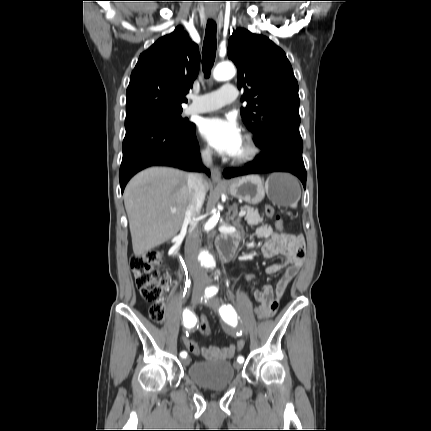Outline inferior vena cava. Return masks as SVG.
I'll use <instances>...</instances> for the list:
<instances>
[{"instance_id": "inferior-vena-cava-1", "label": "inferior vena cava", "mask_w": 431, "mask_h": 431, "mask_svg": "<svg viewBox=\"0 0 431 431\" xmlns=\"http://www.w3.org/2000/svg\"><path fill=\"white\" fill-rule=\"evenodd\" d=\"M201 156L204 164L209 167L212 163L211 151L209 149H205L202 151ZM188 189L190 200L186 208L184 223L189 225V233L185 243V256L189 262V270L194 281V291L202 292L207 281V274L197 264L199 248L197 216L200 213L206 194L203 184V175L199 173L189 174Z\"/></svg>"}]
</instances>
